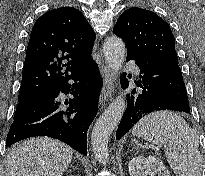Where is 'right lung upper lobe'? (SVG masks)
Instances as JSON below:
<instances>
[{
  "instance_id": "obj_1",
  "label": "right lung upper lobe",
  "mask_w": 205,
  "mask_h": 176,
  "mask_svg": "<svg viewBox=\"0 0 205 176\" xmlns=\"http://www.w3.org/2000/svg\"><path fill=\"white\" fill-rule=\"evenodd\" d=\"M95 32L75 8L51 10L30 34L18 99L43 94L91 60Z\"/></svg>"
}]
</instances>
